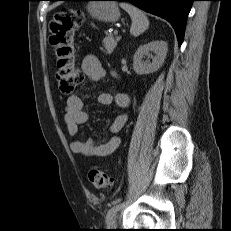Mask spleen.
<instances>
[{
    "label": "spleen",
    "instance_id": "spleen-1",
    "mask_svg": "<svg viewBox=\"0 0 231 231\" xmlns=\"http://www.w3.org/2000/svg\"><path fill=\"white\" fill-rule=\"evenodd\" d=\"M120 6L130 15L132 24L130 28L131 35L137 37L146 31L149 27V20L146 15L135 6L129 3H120Z\"/></svg>",
    "mask_w": 231,
    "mask_h": 231
}]
</instances>
